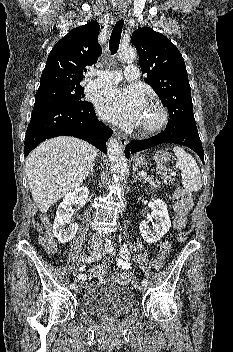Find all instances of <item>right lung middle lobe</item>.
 <instances>
[{
  "label": "right lung middle lobe",
  "mask_w": 233,
  "mask_h": 352,
  "mask_svg": "<svg viewBox=\"0 0 233 352\" xmlns=\"http://www.w3.org/2000/svg\"><path fill=\"white\" fill-rule=\"evenodd\" d=\"M83 88L80 85L51 84L39 87L36 92L34 108L49 106H75L83 100Z\"/></svg>",
  "instance_id": "right-lung-middle-lobe-1"
}]
</instances>
